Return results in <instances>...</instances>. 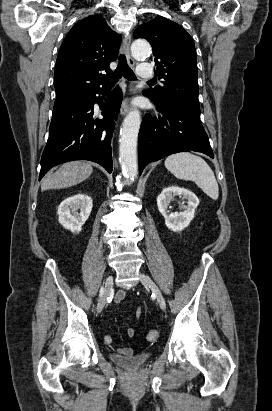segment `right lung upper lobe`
Masks as SVG:
<instances>
[{"label": "right lung upper lobe", "mask_w": 272, "mask_h": 411, "mask_svg": "<svg viewBox=\"0 0 272 411\" xmlns=\"http://www.w3.org/2000/svg\"><path fill=\"white\" fill-rule=\"evenodd\" d=\"M120 43L121 36L100 15L77 22L62 42L56 60L55 104L80 101L105 88L112 73L109 64L117 58Z\"/></svg>", "instance_id": "obj_1"}]
</instances>
